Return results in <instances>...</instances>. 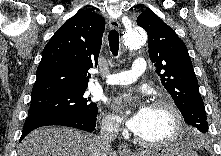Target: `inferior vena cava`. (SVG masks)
<instances>
[{
    "mask_svg": "<svg viewBox=\"0 0 221 156\" xmlns=\"http://www.w3.org/2000/svg\"><path fill=\"white\" fill-rule=\"evenodd\" d=\"M118 126L117 123L112 120H106L102 123L100 139H98V146L102 152L110 150V142L117 136ZM105 155V154H103Z\"/></svg>",
    "mask_w": 221,
    "mask_h": 156,
    "instance_id": "obj_1",
    "label": "inferior vena cava"
}]
</instances>
